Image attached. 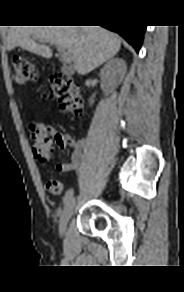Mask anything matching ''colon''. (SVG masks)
Instances as JSON below:
<instances>
[{
    "instance_id": "obj_1",
    "label": "colon",
    "mask_w": 184,
    "mask_h": 292,
    "mask_svg": "<svg viewBox=\"0 0 184 292\" xmlns=\"http://www.w3.org/2000/svg\"><path fill=\"white\" fill-rule=\"evenodd\" d=\"M13 74L19 85H27L37 78L36 68L28 59L16 56L12 60ZM46 98H57L60 108L64 112L80 114L83 111V98L80 88L70 78L54 74L50 78V86L45 92ZM33 141V154L40 163H46L52 153L51 131L46 125L33 122L30 124ZM46 189L53 194H60L63 184L59 180L51 179L46 183Z\"/></svg>"
}]
</instances>
